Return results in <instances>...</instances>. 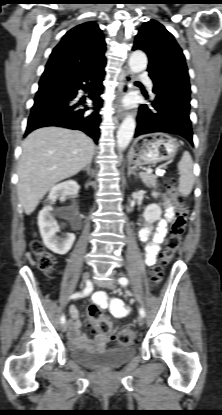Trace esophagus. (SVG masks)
I'll list each match as a JSON object with an SVG mask.
<instances>
[{"instance_id":"1","label":"esophagus","mask_w":222,"mask_h":415,"mask_svg":"<svg viewBox=\"0 0 222 415\" xmlns=\"http://www.w3.org/2000/svg\"><path fill=\"white\" fill-rule=\"evenodd\" d=\"M132 81H133V74L130 71H125L122 74V84L120 86L118 100L115 105L117 115L119 116L120 119H122L125 115V110L124 108L121 107L120 100L125 94H127L130 91Z\"/></svg>"}]
</instances>
